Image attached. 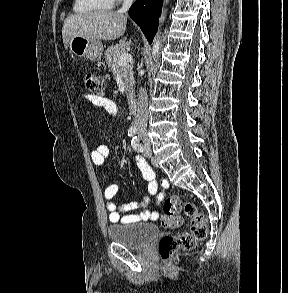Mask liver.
<instances>
[{
	"mask_svg": "<svg viewBox=\"0 0 288 293\" xmlns=\"http://www.w3.org/2000/svg\"><path fill=\"white\" fill-rule=\"evenodd\" d=\"M127 17L119 11H97L70 15L64 20L62 38L65 49L74 36L96 40H115L126 29Z\"/></svg>",
	"mask_w": 288,
	"mask_h": 293,
	"instance_id": "1",
	"label": "liver"
}]
</instances>
